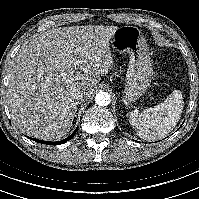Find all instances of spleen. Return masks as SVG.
Listing matches in <instances>:
<instances>
[{
  "label": "spleen",
  "instance_id": "obj_1",
  "mask_svg": "<svg viewBox=\"0 0 199 199\" xmlns=\"http://www.w3.org/2000/svg\"><path fill=\"white\" fill-rule=\"evenodd\" d=\"M183 97L174 90L162 103L142 112H129L128 118L138 136L145 140H155L166 136L179 122L183 111Z\"/></svg>",
  "mask_w": 199,
  "mask_h": 199
}]
</instances>
